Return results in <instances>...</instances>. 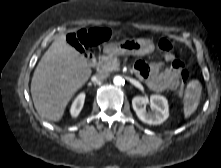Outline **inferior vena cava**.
I'll use <instances>...</instances> for the list:
<instances>
[{
	"label": "inferior vena cava",
	"mask_w": 221,
	"mask_h": 168,
	"mask_svg": "<svg viewBox=\"0 0 221 168\" xmlns=\"http://www.w3.org/2000/svg\"><path fill=\"white\" fill-rule=\"evenodd\" d=\"M109 74L107 72H99L95 75V80L96 81H103L105 80Z\"/></svg>",
	"instance_id": "602c4592"
}]
</instances>
